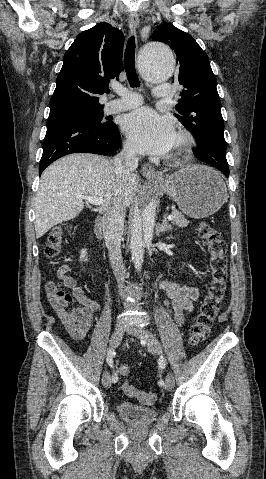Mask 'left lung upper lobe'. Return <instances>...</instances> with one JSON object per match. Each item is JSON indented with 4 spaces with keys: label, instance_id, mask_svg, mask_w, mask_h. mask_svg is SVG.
<instances>
[{
    "label": "left lung upper lobe",
    "instance_id": "obj_1",
    "mask_svg": "<svg viewBox=\"0 0 266 479\" xmlns=\"http://www.w3.org/2000/svg\"><path fill=\"white\" fill-rule=\"evenodd\" d=\"M152 40L168 44L177 56L179 70L173 81L179 82L183 90L175 107L179 115L175 116L196 139L194 155L216 168L228 167L217 79L207 54L190 34L171 23L158 26Z\"/></svg>",
    "mask_w": 266,
    "mask_h": 479
}]
</instances>
